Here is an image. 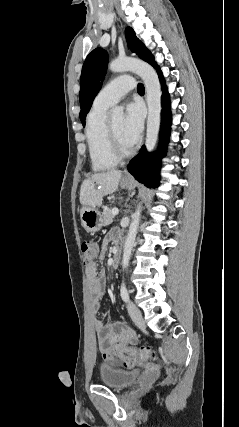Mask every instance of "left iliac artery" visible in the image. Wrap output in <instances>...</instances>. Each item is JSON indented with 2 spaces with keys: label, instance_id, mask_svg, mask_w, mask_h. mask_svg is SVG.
<instances>
[{
  "label": "left iliac artery",
  "instance_id": "obj_1",
  "mask_svg": "<svg viewBox=\"0 0 239 427\" xmlns=\"http://www.w3.org/2000/svg\"><path fill=\"white\" fill-rule=\"evenodd\" d=\"M120 295H121V298L123 299V301H125V302L129 301V292L126 288L124 281L121 284Z\"/></svg>",
  "mask_w": 239,
  "mask_h": 427
}]
</instances>
